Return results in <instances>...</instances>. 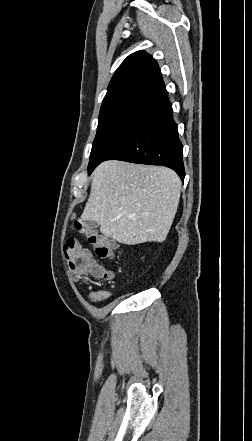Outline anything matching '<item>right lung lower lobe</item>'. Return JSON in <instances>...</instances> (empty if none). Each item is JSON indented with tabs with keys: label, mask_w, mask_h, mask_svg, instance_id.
<instances>
[{
	"label": "right lung lower lobe",
	"mask_w": 252,
	"mask_h": 441,
	"mask_svg": "<svg viewBox=\"0 0 252 441\" xmlns=\"http://www.w3.org/2000/svg\"><path fill=\"white\" fill-rule=\"evenodd\" d=\"M182 156L183 145L178 137V126L173 120L172 105L164 88L146 100L133 129L105 160L166 166L183 180L185 170Z\"/></svg>",
	"instance_id": "right-lung-lower-lobe-1"
}]
</instances>
